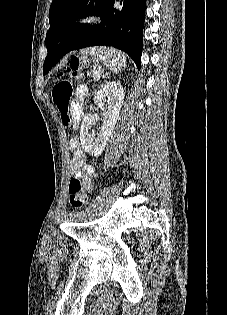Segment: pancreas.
Wrapping results in <instances>:
<instances>
[{
    "label": "pancreas",
    "mask_w": 227,
    "mask_h": 315,
    "mask_svg": "<svg viewBox=\"0 0 227 315\" xmlns=\"http://www.w3.org/2000/svg\"><path fill=\"white\" fill-rule=\"evenodd\" d=\"M94 70H96V68H94ZM94 70H93V74H94Z\"/></svg>",
    "instance_id": "obj_1"
}]
</instances>
